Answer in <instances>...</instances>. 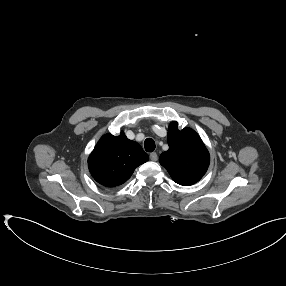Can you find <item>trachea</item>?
<instances>
[{"instance_id": "3493384b", "label": "trachea", "mask_w": 286, "mask_h": 286, "mask_svg": "<svg viewBox=\"0 0 286 286\" xmlns=\"http://www.w3.org/2000/svg\"><path fill=\"white\" fill-rule=\"evenodd\" d=\"M144 147L147 152H153L155 150V142L152 138H147L144 142Z\"/></svg>"}]
</instances>
